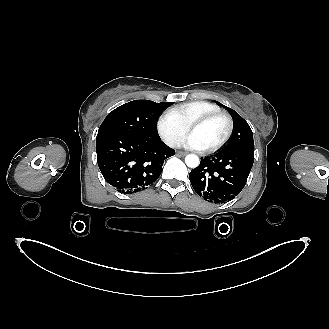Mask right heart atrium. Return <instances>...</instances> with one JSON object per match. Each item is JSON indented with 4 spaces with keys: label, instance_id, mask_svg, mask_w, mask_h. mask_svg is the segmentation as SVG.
Returning a JSON list of instances; mask_svg holds the SVG:
<instances>
[{
    "label": "right heart atrium",
    "instance_id": "right-heart-atrium-1",
    "mask_svg": "<svg viewBox=\"0 0 329 329\" xmlns=\"http://www.w3.org/2000/svg\"><path fill=\"white\" fill-rule=\"evenodd\" d=\"M161 140L169 147H175L187 132V127L170 111L161 114L156 122Z\"/></svg>",
    "mask_w": 329,
    "mask_h": 329
}]
</instances>
